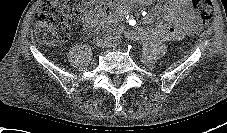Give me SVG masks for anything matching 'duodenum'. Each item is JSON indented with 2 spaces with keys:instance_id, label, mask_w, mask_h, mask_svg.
Returning a JSON list of instances; mask_svg holds the SVG:
<instances>
[{
  "instance_id": "410a0bca",
  "label": "duodenum",
  "mask_w": 227,
  "mask_h": 133,
  "mask_svg": "<svg viewBox=\"0 0 227 133\" xmlns=\"http://www.w3.org/2000/svg\"><path fill=\"white\" fill-rule=\"evenodd\" d=\"M104 31H107V32H115L116 31V27L112 24H106L104 27H103Z\"/></svg>"
}]
</instances>
